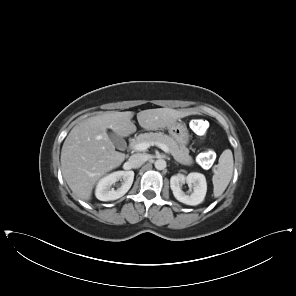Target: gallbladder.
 Segmentation results:
<instances>
[{
  "label": "gallbladder",
  "instance_id": "gallbladder-1",
  "mask_svg": "<svg viewBox=\"0 0 296 296\" xmlns=\"http://www.w3.org/2000/svg\"><path fill=\"white\" fill-rule=\"evenodd\" d=\"M110 139L113 141V143L116 145V147H123L125 145V141L116 135L115 133L110 134Z\"/></svg>",
  "mask_w": 296,
  "mask_h": 296
}]
</instances>
